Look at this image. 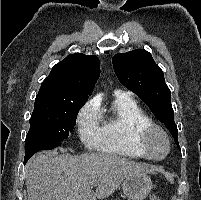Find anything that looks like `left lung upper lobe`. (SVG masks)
<instances>
[{
  "label": "left lung upper lobe",
  "mask_w": 201,
  "mask_h": 200,
  "mask_svg": "<svg viewBox=\"0 0 201 200\" xmlns=\"http://www.w3.org/2000/svg\"><path fill=\"white\" fill-rule=\"evenodd\" d=\"M112 63L119 81L138 95L155 117L164 123L180 149L170 101L171 92L165 83L163 71L151 54L143 49H136L116 54Z\"/></svg>",
  "instance_id": "left-lung-upper-lobe-1"
}]
</instances>
